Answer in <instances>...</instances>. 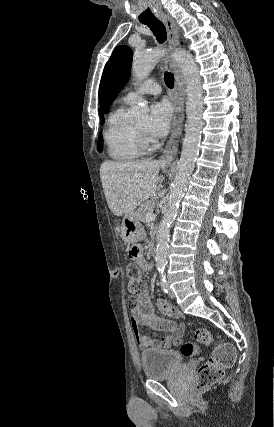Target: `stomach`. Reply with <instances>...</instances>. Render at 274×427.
Here are the masks:
<instances>
[{
    "instance_id": "stomach-1",
    "label": "stomach",
    "mask_w": 274,
    "mask_h": 427,
    "mask_svg": "<svg viewBox=\"0 0 274 427\" xmlns=\"http://www.w3.org/2000/svg\"><path fill=\"white\" fill-rule=\"evenodd\" d=\"M146 233L143 225L138 221V217L135 214L124 215L120 227V237H122L125 243H136L139 239H143Z\"/></svg>"
}]
</instances>
